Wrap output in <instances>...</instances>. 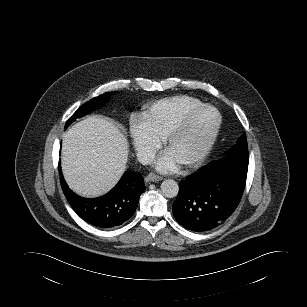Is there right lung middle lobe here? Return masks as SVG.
Listing matches in <instances>:
<instances>
[{
  "instance_id": "dd1d6c3e",
  "label": "right lung middle lobe",
  "mask_w": 307,
  "mask_h": 307,
  "mask_svg": "<svg viewBox=\"0 0 307 307\" xmlns=\"http://www.w3.org/2000/svg\"><path fill=\"white\" fill-rule=\"evenodd\" d=\"M111 95L110 92L104 93L98 97L91 99L90 101L83 104L66 122L65 129L78 117H82L89 112L102 107L105 102H107L109 96Z\"/></svg>"
}]
</instances>
